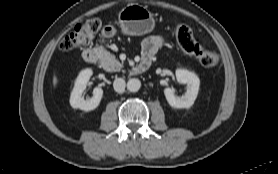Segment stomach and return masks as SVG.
I'll use <instances>...</instances> for the list:
<instances>
[{
    "instance_id": "1",
    "label": "stomach",
    "mask_w": 278,
    "mask_h": 174,
    "mask_svg": "<svg viewBox=\"0 0 278 174\" xmlns=\"http://www.w3.org/2000/svg\"><path fill=\"white\" fill-rule=\"evenodd\" d=\"M121 32L125 35L140 36L150 33L155 26L152 13L144 6L129 4L124 7L118 16ZM116 29L112 25L106 26L102 35L106 38L113 37Z\"/></svg>"
}]
</instances>
